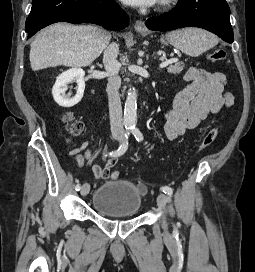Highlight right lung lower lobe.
I'll return each mask as SVG.
<instances>
[{"label": "right lung lower lobe", "mask_w": 255, "mask_h": 272, "mask_svg": "<svg viewBox=\"0 0 255 272\" xmlns=\"http://www.w3.org/2000/svg\"><path fill=\"white\" fill-rule=\"evenodd\" d=\"M56 22L94 23L119 30L128 25L129 18L115 0H33L26 20L27 37Z\"/></svg>", "instance_id": "98d812e1"}]
</instances>
